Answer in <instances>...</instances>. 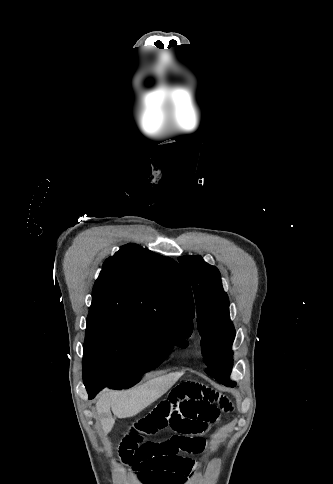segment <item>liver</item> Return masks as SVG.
<instances>
[{
  "label": "liver",
  "mask_w": 333,
  "mask_h": 484,
  "mask_svg": "<svg viewBox=\"0 0 333 484\" xmlns=\"http://www.w3.org/2000/svg\"><path fill=\"white\" fill-rule=\"evenodd\" d=\"M182 375V372L169 373L127 391L102 392L96 409L98 414L106 415V418L101 419L104 433L108 434L115 423L110 409L118 418L133 417L164 395Z\"/></svg>",
  "instance_id": "6515ba94"
}]
</instances>
